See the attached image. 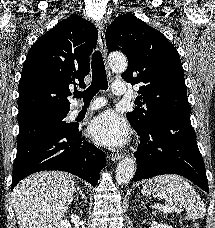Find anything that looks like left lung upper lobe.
<instances>
[{"label": "left lung upper lobe", "mask_w": 215, "mask_h": 228, "mask_svg": "<svg viewBox=\"0 0 215 228\" xmlns=\"http://www.w3.org/2000/svg\"><path fill=\"white\" fill-rule=\"evenodd\" d=\"M109 51H121L128 59L122 78L139 87L136 107L126 114L137 133L147 131L158 118L190 115L184 72L176 48L158 30L131 14L117 17L106 30ZM140 106V105H139Z\"/></svg>", "instance_id": "obj_1"}]
</instances>
